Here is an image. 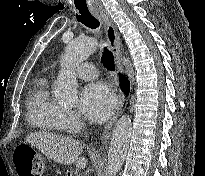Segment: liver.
<instances>
[{
  "mask_svg": "<svg viewBox=\"0 0 205 176\" xmlns=\"http://www.w3.org/2000/svg\"><path fill=\"white\" fill-rule=\"evenodd\" d=\"M25 140L59 164H75L76 168L82 169L88 163L85 157H80L84 147L71 137H62L52 133H34L28 135Z\"/></svg>",
  "mask_w": 205,
  "mask_h": 176,
  "instance_id": "1",
  "label": "liver"
}]
</instances>
